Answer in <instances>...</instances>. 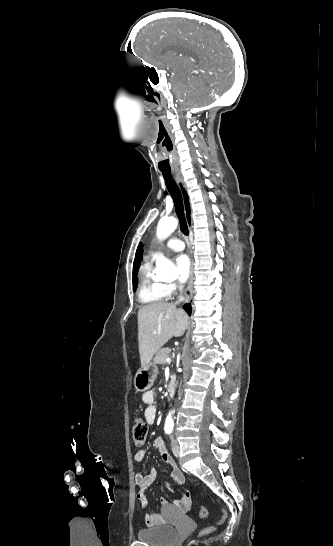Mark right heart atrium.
Segmentation results:
<instances>
[{
	"instance_id": "1",
	"label": "right heart atrium",
	"mask_w": 333,
	"mask_h": 546,
	"mask_svg": "<svg viewBox=\"0 0 333 546\" xmlns=\"http://www.w3.org/2000/svg\"><path fill=\"white\" fill-rule=\"evenodd\" d=\"M163 289L166 295L168 296L176 291L177 286L173 283H166V284H163Z\"/></svg>"
}]
</instances>
